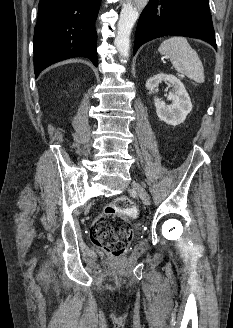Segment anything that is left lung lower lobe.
I'll list each match as a JSON object with an SVG mask.
<instances>
[{
  "mask_svg": "<svg viewBox=\"0 0 233 328\" xmlns=\"http://www.w3.org/2000/svg\"><path fill=\"white\" fill-rule=\"evenodd\" d=\"M167 35L202 39L216 48L208 0H150L138 21L133 55L143 43Z\"/></svg>",
  "mask_w": 233,
  "mask_h": 328,
  "instance_id": "0a47b994",
  "label": "left lung lower lobe"
}]
</instances>
